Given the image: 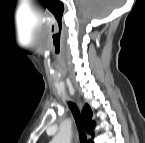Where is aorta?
Wrapping results in <instances>:
<instances>
[{"label":"aorta","instance_id":"1","mask_svg":"<svg viewBox=\"0 0 145 143\" xmlns=\"http://www.w3.org/2000/svg\"><path fill=\"white\" fill-rule=\"evenodd\" d=\"M71 135L68 132H59L52 140L53 143H69Z\"/></svg>","mask_w":145,"mask_h":143}]
</instances>
